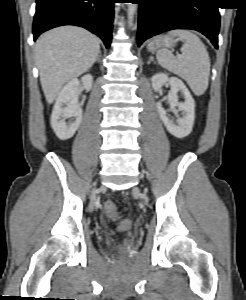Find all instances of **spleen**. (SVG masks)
<instances>
[{
    "instance_id": "spleen-1",
    "label": "spleen",
    "mask_w": 246,
    "mask_h": 300,
    "mask_svg": "<svg viewBox=\"0 0 246 300\" xmlns=\"http://www.w3.org/2000/svg\"><path fill=\"white\" fill-rule=\"evenodd\" d=\"M169 35L185 41L182 55L175 57L168 50H159L156 54L159 65L184 79L196 96L204 94L210 75V58L205 45L188 30H173Z\"/></svg>"
}]
</instances>
